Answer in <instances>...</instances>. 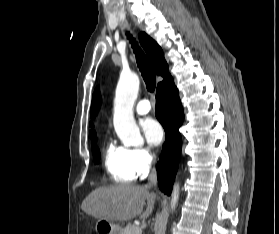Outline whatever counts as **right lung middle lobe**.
<instances>
[{
    "label": "right lung middle lobe",
    "instance_id": "1",
    "mask_svg": "<svg viewBox=\"0 0 279 234\" xmlns=\"http://www.w3.org/2000/svg\"><path fill=\"white\" fill-rule=\"evenodd\" d=\"M92 153L95 163H98L100 160V151L95 144L92 145Z\"/></svg>",
    "mask_w": 279,
    "mask_h": 234
}]
</instances>
